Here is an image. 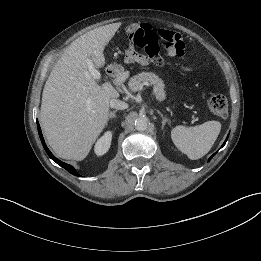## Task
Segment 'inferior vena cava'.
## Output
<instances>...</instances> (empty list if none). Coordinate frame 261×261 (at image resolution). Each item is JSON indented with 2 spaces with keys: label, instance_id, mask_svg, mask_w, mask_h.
Masks as SVG:
<instances>
[{
  "label": "inferior vena cava",
  "instance_id": "602c4592",
  "mask_svg": "<svg viewBox=\"0 0 261 261\" xmlns=\"http://www.w3.org/2000/svg\"><path fill=\"white\" fill-rule=\"evenodd\" d=\"M110 106L115 109H126L128 107V104L124 101L117 100V99H111L110 100Z\"/></svg>",
  "mask_w": 261,
  "mask_h": 261
}]
</instances>
